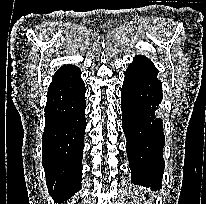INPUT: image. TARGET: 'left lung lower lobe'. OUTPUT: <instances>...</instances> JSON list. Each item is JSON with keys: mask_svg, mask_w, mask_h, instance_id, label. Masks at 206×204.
I'll use <instances>...</instances> for the list:
<instances>
[{"mask_svg": "<svg viewBox=\"0 0 206 204\" xmlns=\"http://www.w3.org/2000/svg\"><path fill=\"white\" fill-rule=\"evenodd\" d=\"M158 70L150 59H134L121 89L122 126L134 184L161 188L165 167L162 120L156 117L163 94Z\"/></svg>", "mask_w": 206, "mask_h": 204, "instance_id": "1", "label": "left lung lower lobe"}]
</instances>
